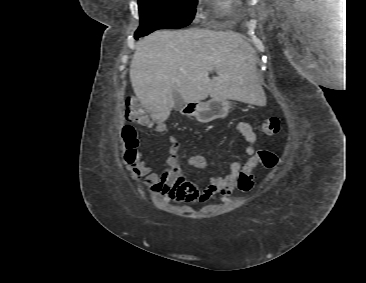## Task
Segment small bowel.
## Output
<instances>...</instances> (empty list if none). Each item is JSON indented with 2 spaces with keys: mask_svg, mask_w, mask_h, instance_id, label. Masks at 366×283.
Returning <instances> with one entry per match:
<instances>
[{
  "mask_svg": "<svg viewBox=\"0 0 366 283\" xmlns=\"http://www.w3.org/2000/svg\"><path fill=\"white\" fill-rule=\"evenodd\" d=\"M236 129L246 141L245 154L249 157V162L256 155V133L247 122L238 123ZM169 142L168 157L158 171L148 166L138 154L128 161L135 177L144 178V184L150 193L163 200L194 204L205 203L216 194L228 195L236 188L239 175L247 162L244 165L237 161L231 162L224 176L212 177L204 186H199L188 177L187 169L181 166L179 141L171 136ZM189 163L195 167H204L207 164L201 156L191 158Z\"/></svg>",
  "mask_w": 366,
  "mask_h": 283,
  "instance_id": "c3829d8e",
  "label": "small bowel"
}]
</instances>
